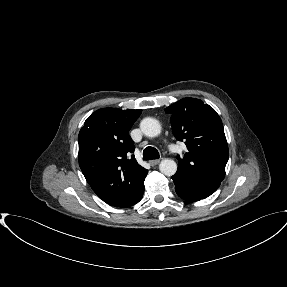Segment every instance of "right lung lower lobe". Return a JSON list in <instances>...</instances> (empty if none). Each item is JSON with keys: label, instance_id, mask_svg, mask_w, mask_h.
<instances>
[{"label": "right lung lower lobe", "instance_id": "1", "mask_svg": "<svg viewBox=\"0 0 287 287\" xmlns=\"http://www.w3.org/2000/svg\"><path fill=\"white\" fill-rule=\"evenodd\" d=\"M143 193H144V185H143V187L140 189V191L138 192V194H137V196L134 198V200H133L127 207L132 206V205L138 203V202L141 200V198H142V196H143Z\"/></svg>", "mask_w": 287, "mask_h": 287}]
</instances>
